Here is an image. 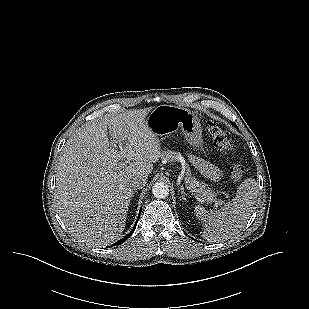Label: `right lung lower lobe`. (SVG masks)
<instances>
[{
    "label": "right lung lower lobe",
    "instance_id": "1",
    "mask_svg": "<svg viewBox=\"0 0 309 309\" xmlns=\"http://www.w3.org/2000/svg\"><path fill=\"white\" fill-rule=\"evenodd\" d=\"M140 215V214H139ZM139 220V219H138ZM136 225H137V223L135 224V226H134V229L132 230V232L130 233V234H127L123 239H121L120 241H118L117 242V244H121V243H123L132 233H133V231L135 230V228H136Z\"/></svg>",
    "mask_w": 309,
    "mask_h": 309
}]
</instances>
